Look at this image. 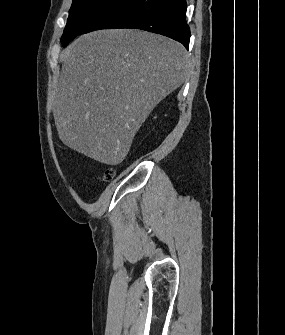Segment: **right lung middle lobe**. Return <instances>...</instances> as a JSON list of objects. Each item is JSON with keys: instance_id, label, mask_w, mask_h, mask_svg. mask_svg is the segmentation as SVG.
I'll list each match as a JSON object with an SVG mask.
<instances>
[{"instance_id": "obj_1", "label": "right lung middle lobe", "mask_w": 285, "mask_h": 335, "mask_svg": "<svg viewBox=\"0 0 285 335\" xmlns=\"http://www.w3.org/2000/svg\"><path fill=\"white\" fill-rule=\"evenodd\" d=\"M117 0H73L61 43L66 46Z\"/></svg>"}]
</instances>
